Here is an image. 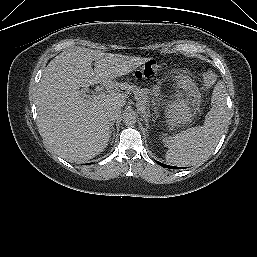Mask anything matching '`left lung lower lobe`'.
Listing matches in <instances>:
<instances>
[{
  "instance_id": "obj_1",
  "label": "left lung lower lobe",
  "mask_w": 257,
  "mask_h": 257,
  "mask_svg": "<svg viewBox=\"0 0 257 257\" xmlns=\"http://www.w3.org/2000/svg\"><path fill=\"white\" fill-rule=\"evenodd\" d=\"M158 164H160L161 166L165 167V168H169V169H180L181 167H174V166H169V165H165L163 163L157 162Z\"/></svg>"
}]
</instances>
